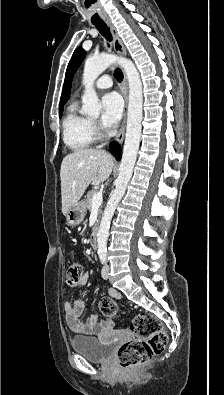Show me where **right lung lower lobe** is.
Instances as JSON below:
<instances>
[{"mask_svg":"<svg viewBox=\"0 0 224 395\" xmlns=\"http://www.w3.org/2000/svg\"><path fill=\"white\" fill-rule=\"evenodd\" d=\"M110 152L112 153V155L117 159L120 160L121 159V150H120V146L119 144H117L116 142H113L110 144Z\"/></svg>","mask_w":224,"mask_h":395,"instance_id":"right-lung-lower-lobe-1","label":"right lung lower lobe"}]
</instances>
